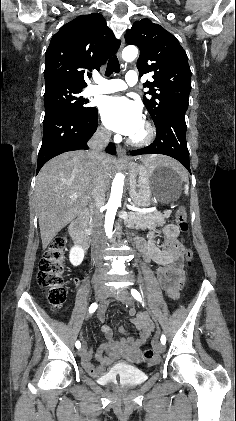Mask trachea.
<instances>
[{
	"instance_id": "1",
	"label": "trachea",
	"mask_w": 236,
	"mask_h": 421,
	"mask_svg": "<svg viewBox=\"0 0 236 421\" xmlns=\"http://www.w3.org/2000/svg\"><path fill=\"white\" fill-rule=\"evenodd\" d=\"M113 72L115 73H119L120 72V65H119V60L116 57V55L110 57L108 63H107V68H106V76H110Z\"/></svg>"
}]
</instances>
